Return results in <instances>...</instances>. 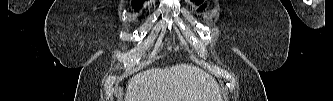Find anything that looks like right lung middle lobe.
I'll use <instances>...</instances> for the list:
<instances>
[{
	"mask_svg": "<svg viewBox=\"0 0 333 101\" xmlns=\"http://www.w3.org/2000/svg\"><path fill=\"white\" fill-rule=\"evenodd\" d=\"M133 7L136 8H140L142 7V3L141 2H132Z\"/></svg>",
	"mask_w": 333,
	"mask_h": 101,
	"instance_id": "right-lung-middle-lobe-1",
	"label": "right lung middle lobe"
}]
</instances>
